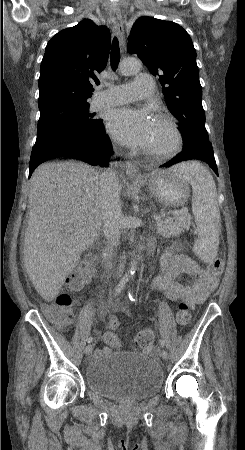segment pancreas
Returning <instances> with one entry per match:
<instances>
[{
	"label": "pancreas",
	"instance_id": "cf45deb5",
	"mask_svg": "<svg viewBox=\"0 0 245 450\" xmlns=\"http://www.w3.org/2000/svg\"><path fill=\"white\" fill-rule=\"evenodd\" d=\"M190 224L191 216L188 213H182L156 221V229L157 233L163 237H174L189 229Z\"/></svg>",
	"mask_w": 245,
	"mask_h": 450
}]
</instances>
